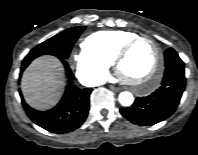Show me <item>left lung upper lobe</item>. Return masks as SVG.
I'll list each match as a JSON object with an SVG mask.
<instances>
[{
  "instance_id": "1",
  "label": "left lung upper lobe",
  "mask_w": 198,
  "mask_h": 155,
  "mask_svg": "<svg viewBox=\"0 0 198 155\" xmlns=\"http://www.w3.org/2000/svg\"><path fill=\"white\" fill-rule=\"evenodd\" d=\"M164 55H165V66H166V68L169 65H172V64H184L183 61L178 56V53L172 48L167 49L164 52Z\"/></svg>"
}]
</instances>
